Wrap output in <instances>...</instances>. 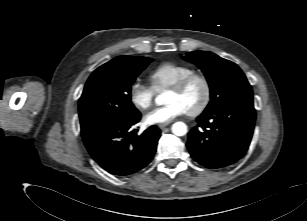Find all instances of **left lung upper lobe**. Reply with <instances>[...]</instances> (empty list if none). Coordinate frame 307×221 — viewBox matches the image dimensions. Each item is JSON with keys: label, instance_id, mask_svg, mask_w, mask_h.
Here are the masks:
<instances>
[{"label": "left lung upper lobe", "instance_id": "left-lung-upper-lobe-1", "mask_svg": "<svg viewBox=\"0 0 307 221\" xmlns=\"http://www.w3.org/2000/svg\"><path fill=\"white\" fill-rule=\"evenodd\" d=\"M183 59L197 65L209 83L211 101L204 112L216 111L232 103H253L251 85L235 63L208 51H193Z\"/></svg>", "mask_w": 307, "mask_h": 221}]
</instances>
